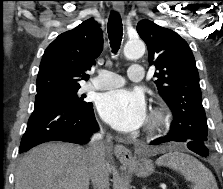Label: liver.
Masks as SVG:
<instances>
[{"mask_svg":"<svg viewBox=\"0 0 223 189\" xmlns=\"http://www.w3.org/2000/svg\"><path fill=\"white\" fill-rule=\"evenodd\" d=\"M91 159L69 143H46L30 150L15 173V189H89ZM108 171L112 168L107 163Z\"/></svg>","mask_w":223,"mask_h":189,"instance_id":"6515ba94","label":"liver"}]
</instances>
